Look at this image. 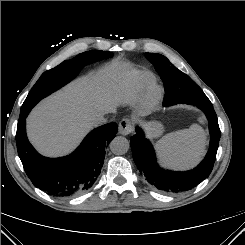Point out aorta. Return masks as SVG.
I'll return each instance as SVG.
<instances>
[{
	"mask_svg": "<svg viewBox=\"0 0 245 245\" xmlns=\"http://www.w3.org/2000/svg\"><path fill=\"white\" fill-rule=\"evenodd\" d=\"M130 148L129 141L122 136L115 137L110 143L112 153L116 155H123L128 152Z\"/></svg>",
	"mask_w": 245,
	"mask_h": 245,
	"instance_id": "1",
	"label": "aorta"
}]
</instances>
